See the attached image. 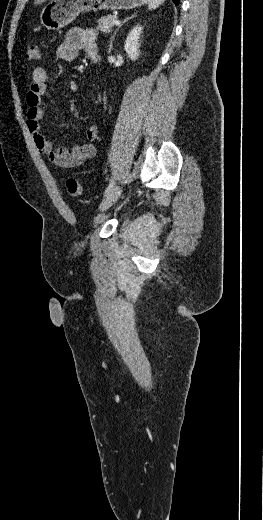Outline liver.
Here are the masks:
<instances>
[{
    "label": "liver",
    "instance_id": "6515ba94",
    "mask_svg": "<svg viewBox=\"0 0 263 520\" xmlns=\"http://www.w3.org/2000/svg\"><path fill=\"white\" fill-rule=\"evenodd\" d=\"M46 1H47V0H35V1H34V4H35V5H39V4H42V3L46 2Z\"/></svg>",
    "mask_w": 263,
    "mask_h": 520
}]
</instances>
